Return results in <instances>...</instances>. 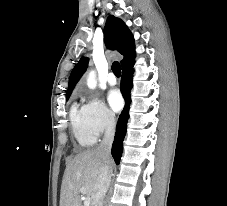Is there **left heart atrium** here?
Returning <instances> with one entry per match:
<instances>
[{
    "mask_svg": "<svg viewBox=\"0 0 227 206\" xmlns=\"http://www.w3.org/2000/svg\"><path fill=\"white\" fill-rule=\"evenodd\" d=\"M108 103L111 109L115 112H118L123 107V98L119 90L113 89L108 94Z\"/></svg>",
    "mask_w": 227,
    "mask_h": 206,
    "instance_id": "left-heart-atrium-1",
    "label": "left heart atrium"
}]
</instances>
